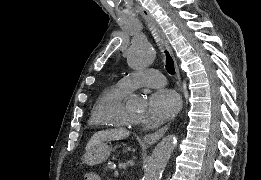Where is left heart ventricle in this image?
<instances>
[{
	"label": "left heart ventricle",
	"mask_w": 261,
	"mask_h": 180,
	"mask_svg": "<svg viewBox=\"0 0 261 180\" xmlns=\"http://www.w3.org/2000/svg\"><path fill=\"white\" fill-rule=\"evenodd\" d=\"M128 95L127 97L131 96ZM145 108V102H143L140 106H137V109H132V107H123L124 110V119L129 123L140 124L144 122L142 118V112Z\"/></svg>",
	"instance_id": "obj_1"
}]
</instances>
